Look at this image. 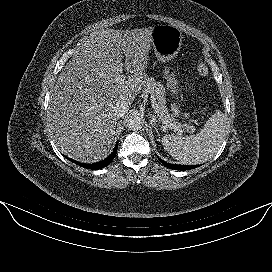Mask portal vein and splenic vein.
<instances>
[{
  "instance_id": "portal-vein-and-splenic-vein-1",
  "label": "portal vein and splenic vein",
  "mask_w": 272,
  "mask_h": 272,
  "mask_svg": "<svg viewBox=\"0 0 272 272\" xmlns=\"http://www.w3.org/2000/svg\"><path fill=\"white\" fill-rule=\"evenodd\" d=\"M151 103L152 107L154 109L155 116L164 124L166 127L170 129H175L176 131L182 132L181 128L187 129V131L194 132L195 128L194 126L188 125V124H180V125H174V124H169L166 120L162 118V116L159 113V106L156 103V98L155 96L151 93Z\"/></svg>"
}]
</instances>
